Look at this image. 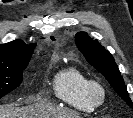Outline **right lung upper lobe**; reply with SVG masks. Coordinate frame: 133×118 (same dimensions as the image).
Returning a JSON list of instances; mask_svg holds the SVG:
<instances>
[{"mask_svg": "<svg viewBox=\"0 0 133 118\" xmlns=\"http://www.w3.org/2000/svg\"><path fill=\"white\" fill-rule=\"evenodd\" d=\"M36 44L26 45L21 40H15L0 45V67H15L28 64Z\"/></svg>", "mask_w": 133, "mask_h": 118, "instance_id": "right-lung-upper-lobe-1", "label": "right lung upper lobe"}]
</instances>
